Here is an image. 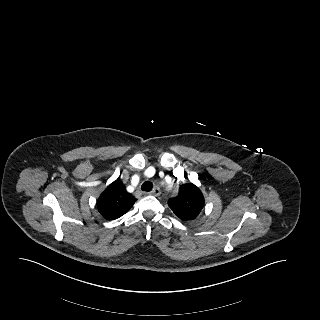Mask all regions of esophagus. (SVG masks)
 Returning a JSON list of instances; mask_svg holds the SVG:
<instances>
[{"label":"esophagus","mask_w":320,"mask_h":320,"mask_svg":"<svg viewBox=\"0 0 320 320\" xmlns=\"http://www.w3.org/2000/svg\"><path fill=\"white\" fill-rule=\"evenodd\" d=\"M149 194L153 196H159L161 194V190L159 187H154Z\"/></svg>","instance_id":"esophagus-1"}]
</instances>
